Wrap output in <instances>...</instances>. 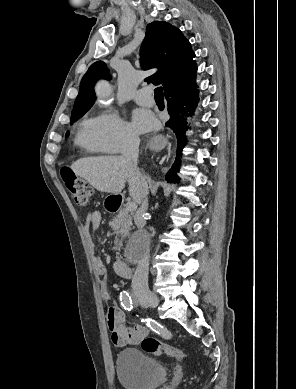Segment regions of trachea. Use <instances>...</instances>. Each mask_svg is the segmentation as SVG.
Here are the masks:
<instances>
[{"mask_svg": "<svg viewBox=\"0 0 296 389\" xmlns=\"http://www.w3.org/2000/svg\"><path fill=\"white\" fill-rule=\"evenodd\" d=\"M154 96H155L156 100H164L163 88L162 87H157L154 90Z\"/></svg>", "mask_w": 296, "mask_h": 389, "instance_id": "1", "label": "trachea"}]
</instances>
